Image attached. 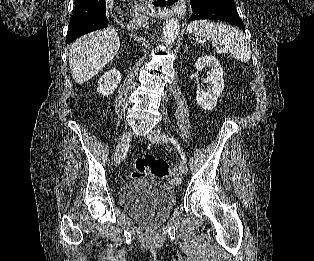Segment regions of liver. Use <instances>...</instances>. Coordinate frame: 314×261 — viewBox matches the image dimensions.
I'll list each match as a JSON object with an SVG mask.
<instances>
[{
	"label": "liver",
	"instance_id": "6515ba94",
	"mask_svg": "<svg viewBox=\"0 0 314 261\" xmlns=\"http://www.w3.org/2000/svg\"><path fill=\"white\" fill-rule=\"evenodd\" d=\"M119 47V36L113 28L78 38L69 52V66L75 82L83 84L97 75L114 58Z\"/></svg>",
	"mask_w": 314,
	"mask_h": 261
}]
</instances>
